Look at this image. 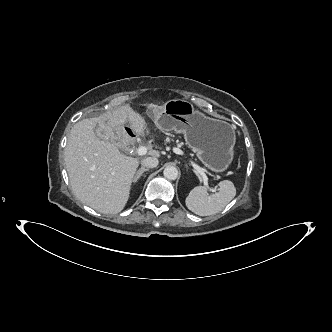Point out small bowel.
Returning a JSON list of instances; mask_svg holds the SVG:
<instances>
[{"label":"small bowel","instance_id":"1","mask_svg":"<svg viewBox=\"0 0 332 332\" xmlns=\"http://www.w3.org/2000/svg\"><path fill=\"white\" fill-rule=\"evenodd\" d=\"M149 113L152 116H157L160 113V108L157 105H152L149 108ZM133 128L135 130V132L139 135H144L145 133H148V129L144 123V121L140 120L137 121L134 125Z\"/></svg>","mask_w":332,"mask_h":332}]
</instances>
